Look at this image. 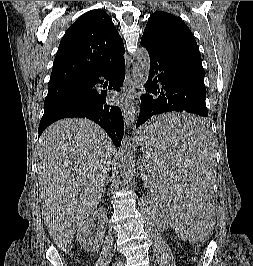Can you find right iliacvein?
<instances>
[{"label":"right iliac vein","mask_w":253,"mask_h":266,"mask_svg":"<svg viewBox=\"0 0 253 266\" xmlns=\"http://www.w3.org/2000/svg\"><path fill=\"white\" fill-rule=\"evenodd\" d=\"M113 266H123L121 261H116Z\"/></svg>","instance_id":"63e3f726"}]
</instances>
